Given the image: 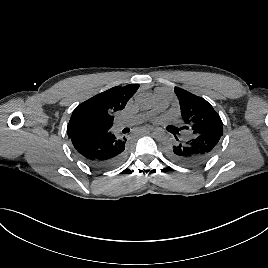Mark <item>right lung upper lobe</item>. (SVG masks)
<instances>
[{
	"label": "right lung upper lobe",
	"instance_id": "right-lung-upper-lobe-1",
	"mask_svg": "<svg viewBox=\"0 0 268 268\" xmlns=\"http://www.w3.org/2000/svg\"><path fill=\"white\" fill-rule=\"evenodd\" d=\"M138 88V84L113 87L79 104L70 118L68 136H73L72 127L78 122H90L102 132L108 131L112 127L114 113L125 107Z\"/></svg>",
	"mask_w": 268,
	"mask_h": 268
}]
</instances>
